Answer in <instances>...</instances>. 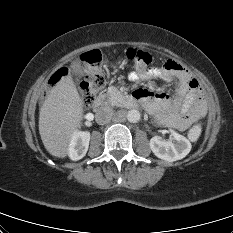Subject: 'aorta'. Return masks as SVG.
<instances>
[{
    "label": "aorta",
    "mask_w": 233,
    "mask_h": 233,
    "mask_svg": "<svg viewBox=\"0 0 233 233\" xmlns=\"http://www.w3.org/2000/svg\"><path fill=\"white\" fill-rule=\"evenodd\" d=\"M126 117H127V120L129 122L137 123L141 118V114L138 110L132 109V110L128 111Z\"/></svg>",
    "instance_id": "1"
}]
</instances>
